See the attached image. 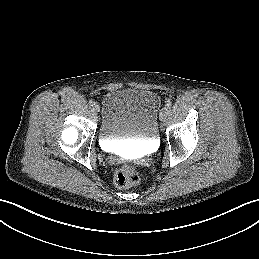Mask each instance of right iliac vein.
<instances>
[{
	"instance_id": "1",
	"label": "right iliac vein",
	"mask_w": 259,
	"mask_h": 259,
	"mask_svg": "<svg viewBox=\"0 0 259 259\" xmlns=\"http://www.w3.org/2000/svg\"><path fill=\"white\" fill-rule=\"evenodd\" d=\"M99 110H100L99 105L95 103L93 105V111L97 113V112H99Z\"/></svg>"
}]
</instances>
